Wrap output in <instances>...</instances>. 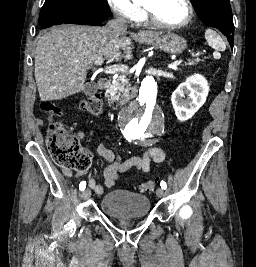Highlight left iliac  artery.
<instances>
[{"label": "left iliac artery", "mask_w": 256, "mask_h": 267, "mask_svg": "<svg viewBox=\"0 0 256 267\" xmlns=\"http://www.w3.org/2000/svg\"><path fill=\"white\" fill-rule=\"evenodd\" d=\"M160 186H161V188L164 189V190L167 188V184H166V182H164V181H161Z\"/></svg>", "instance_id": "obj_1"}]
</instances>
